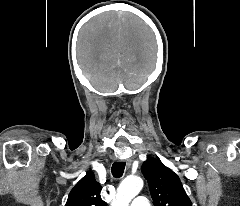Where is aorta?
Masks as SVG:
<instances>
[{
	"label": "aorta",
	"mask_w": 240,
	"mask_h": 206,
	"mask_svg": "<svg viewBox=\"0 0 240 206\" xmlns=\"http://www.w3.org/2000/svg\"><path fill=\"white\" fill-rule=\"evenodd\" d=\"M143 187V181L140 177H127L117 189L116 199L112 206H129L131 200L139 194Z\"/></svg>",
	"instance_id": "obj_1"
}]
</instances>
